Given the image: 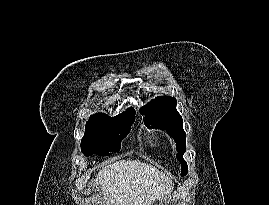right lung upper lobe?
<instances>
[{"instance_id": "obj_1", "label": "right lung upper lobe", "mask_w": 269, "mask_h": 205, "mask_svg": "<svg viewBox=\"0 0 269 205\" xmlns=\"http://www.w3.org/2000/svg\"><path fill=\"white\" fill-rule=\"evenodd\" d=\"M131 116H135V110L133 108H129L127 109L125 112H123L122 114H119L117 116H115L114 118H111L105 114H95L92 115L90 119H100V118H108V119H121V118H128Z\"/></svg>"}]
</instances>
